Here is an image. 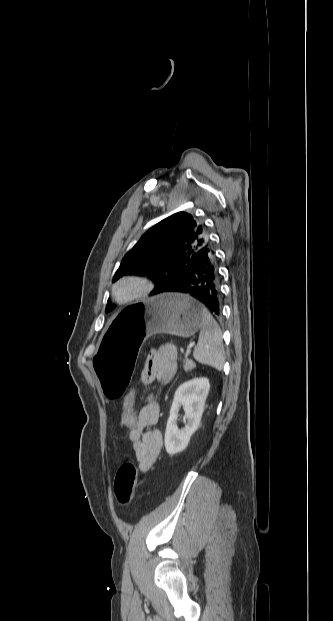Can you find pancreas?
<instances>
[{"instance_id":"obj_1","label":"pancreas","mask_w":333,"mask_h":621,"mask_svg":"<svg viewBox=\"0 0 333 621\" xmlns=\"http://www.w3.org/2000/svg\"><path fill=\"white\" fill-rule=\"evenodd\" d=\"M184 363V370L185 371H191L195 368V363L193 362L192 359H189L187 356L185 357V359L183 360Z\"/></svg>"}]
</instances>
